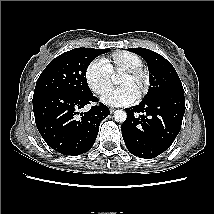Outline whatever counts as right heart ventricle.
<instances>
[{
	"mask_svg": "<svg viewBox=\"0 0 214 214\" xmlns=\"http://www.w3.org/2000/svg\"><path fill=\"white\" fill-rule=\"evenodd\" d=\"M111 74L142 66V58L129 51H117L110 58L103 59Z\"/></svg>",
	"mask_w": 214,
	"mask_h": 214,
	"instance_id": "e07e8e85",
	"label": "right heart ventricle"
}]
</instances>
